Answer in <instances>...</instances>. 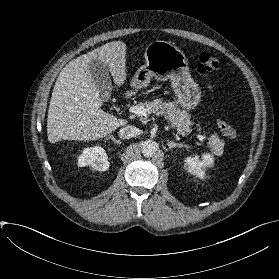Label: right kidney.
<instances>
[{
	"instance_id": "right-kidney-1",
	"label": "right kidney",
	"mask_w": 279,
	"mask_h": 279,
	"mask_svg": "<svg viewBox=\"0 0 279 279\" xmlns=\"http://www.w3.org/2000/svg\"><path fill=\"white\" fill-rule=\"evenodd\" d=\"M78 166H89L93 170L106 171L109 168L108 156L101 146L84 148L78 156Z\"/></svg>"
}]
</instances>
